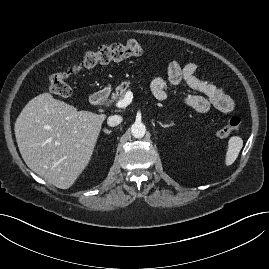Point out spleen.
I'll use <instances>...</instances> for the list:
<instances>
[{"label": "spleen", "instance_id": "1", "mask_svg": "<svg viewBox=\"0 0 269 269\" xmlns=\"http://www.w3.org/2000/svg\"><path fill=\"white\" fill-rule=\"evenodd\" d=\"M243 147V140L239 136H232L228 141L226 152L225 165H232L238 157L239 152Z\"/></svg>", "mask_w": 269, "mask_h": 269}]
</instances>
